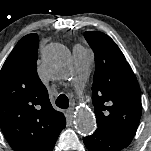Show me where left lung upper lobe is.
<instances>
[{
  "instance_id": "obj_1",
  "label": "left lung upper lobe",
  "mask_w": 151,
  "mask_h": 151,
  "mask_svg": "<svg viewBox=\"0 0 151 151\" xmlns=\"http://www.w3.org/2000/svg\"><path fill=\"white\" fill-rule=\"evenodd\" d=\"M84 36L95 53L92 102L97 129L133 137L141 117L136 76L109 36L98 31H87Z\"/></svg>"
}]
</instances>
